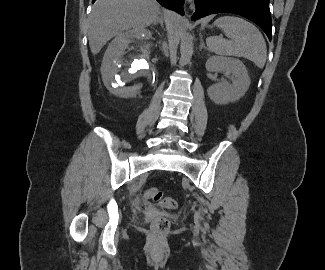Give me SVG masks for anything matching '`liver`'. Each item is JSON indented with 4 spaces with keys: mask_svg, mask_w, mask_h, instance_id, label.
Returning a JSON list of instances; mask_svg holds the SVG:
<instances>
[{
    "mask_svg": "<svg viewBox=\"0 0 325 270\" xmlns=\"http://www.w3.org/2000/svg\"><path fill=\"white\" fill-rule=\"evenodd\" d=\"M156 0H97L88 24L91 52L96 55L113 37L130 29L142 30L158 19Z\"/></svg>",
    "mask_w": 325,
    "mask_h": 270,
    "instance_id": "6515ba94",
    "label": "liver"
}]
</instances>
